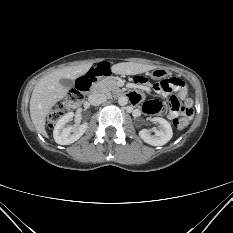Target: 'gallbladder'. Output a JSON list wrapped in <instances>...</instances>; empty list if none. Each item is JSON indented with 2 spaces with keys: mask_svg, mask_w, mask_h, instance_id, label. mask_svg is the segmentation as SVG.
Instances as JSON below:
<instances>
[{
  "mask_svg": "<svg viewBox=\"0 0 233 233\" xmlns=\"http://www.w3.org/2000/svg\"><path fill=\"white\" fill-rule=\"evenodd\" d=\"M60 84L66 89H71L74 86V80L68 78H62Z\"/></svg>",
  "mask_w": 233,
  "mask_h": 233,
  "instance_id": "obj_1",
  "label": "gallbladder"
}]
</instances>
